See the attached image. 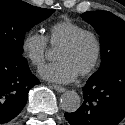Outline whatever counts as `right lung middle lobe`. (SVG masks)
Masks as SVG:
<instances>
[{
  "label": "right lung middle lobe",
  "mask_w": 125,
  "mask_h": 125,
  "mask_svg": "<svg viewBox=\"0 0 125 125\" xmlns=\"http://www.w3.org/2000/svg\"><path fill=\"white\" fill-rule=\"evenodd\" d=\"M53 12L20 0H0V47L21 55L25 33Z\"/></svg>",
  "instance_id": "dd1d6c3e"
}]
</instances>
